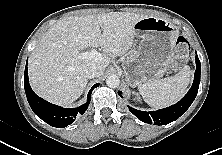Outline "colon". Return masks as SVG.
Listing matches in <instances>:
<instances>
[{"label": "colon", "mask_w": 222, "mask_h": 155, "mask_svg": "<svg viewBox=\"0 0 222 155\" xmlns=\"http://www.w3.org/2000/svg\"><path fill=\"white\" fill-rule=\"evenodd\" d=\"M188 51H189V43L187 39L183 36H179L176 39L174 46V53H175L174 66H178L185 60Z\"/></svg>", "instance_id": "colon-1"}]
</instances>
